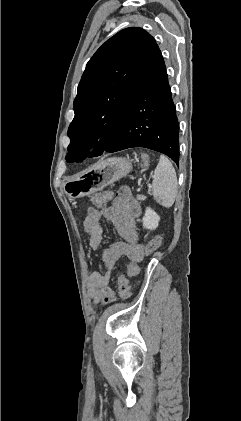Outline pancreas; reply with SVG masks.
I'll use <instances>...</instances> for the list:
<instances>
[{"label": "pancreas", "mask_w": 241, "mask_h": 421, "mask_svg": "<svg viewBox=\"0 0 241 421\" xmlns=\"http://www.w3.org/2000/svg\"><path fill=\"white\" fill-rule=\"evenodd\" d=\"M146 199V196L144 195H137V200L138 201H144Z\"/></svg>", "instance_id": "1"}]
</instances>
